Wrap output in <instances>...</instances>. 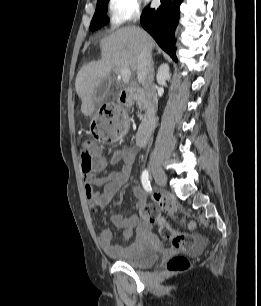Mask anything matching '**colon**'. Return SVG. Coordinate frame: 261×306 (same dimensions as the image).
Segmentation results:
<instances>
[{
  "label": "colon",
  "mask_w": 261,
  "mask_h": 306,
  "mask_svg": "<svg viewBox=\"0 0 261 306\" xmlns=\"http://www.w3.org/2000/svg\"><path fill=\"white\" fill-rule=\"evenodd\" d=\"M110 116L114 121L109 124L104 119H98L92 127V137L100 142H108L112 139H119L125 131L124 116L114 105H108ZM81 168L82 171H91L96 168L100 160L104 157L101 153H94L91 149V143L85 142L80 146ZM161 209L167 213H173L175 204L173 200L155 196L152 203L144 205L140 209L141 218L150 223L159 226L160 236L164 240L171 242L172 248L175 251L185 252L192 250L195 247V238L193 235L183 232H176L170 228L164 216L161 214ZM190 268L189 260L183 255H174L168 259L165 264V270L169 273H178L186 271Z\"/></svg>",
  "instance_id": "obj_1"
}]
</instances>
